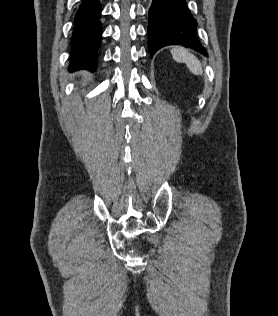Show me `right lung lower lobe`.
Masks as SVG:
<instances>
[{"instance_id":"98d812e1","label":"right lung lower lobe","mask_w":278,"mask_h":316,"mask_svg":"<svg viewBox=\"0 0 278 316\" xmlns=\"http://www.w3.org/2000/svg\"><path fill=\"white\" fill-rule=\"evenodd\" d=\"M101 10L97 0H84L81 4L75 16V27L71 38L70 71L96 69L97 50L102 35L99 21Z\"/></svg>"}]
</instances>
